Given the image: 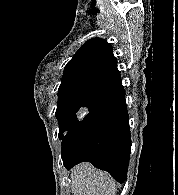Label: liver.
Returning <instances> with one entry per match:
<instances>
[{
	"mask_svg": "<svg viewBox=\"0 0 178 195\" xmlns=\"http://www.w3.org/2000/svg\"><path fill=\"white\" fill-rule=\"evenodd\" d=\"M73 195H116V182L90 163L77 165L71 172Z\"/></svg>",
	"mask_w": 178,
	"mask_h": 195,
	"instance_id": "1",
	"label": "liver"
}]
</instances>
